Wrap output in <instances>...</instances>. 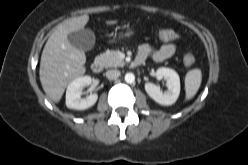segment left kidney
<instances>
[{"mask_svg":"<svg viewBox=\"0 0 248 165\" xmlns=\"http://www.w3.org/2000/svg\"><path fill=\"white\" fill-rule=\"evenodd\" d=\"M156 77L158 79H166L167 92L163 93L160 87L153 83H146L145 90L147 94L160 105L174 104L180 94L179 75L173 69L162 67L156 71Z\"/></svg>","mask_w":248,"mask_h":165,"instance_id":"obj_1","label":"left kidney"}]
</instances>
